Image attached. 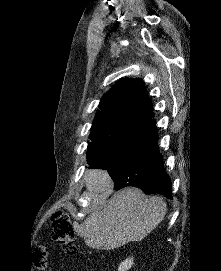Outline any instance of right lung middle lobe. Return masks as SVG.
I'll return each mask as SVG.
<instances>
[{"label":"right lung middle lobe","mask_w":221,"mask_h":271,"mask_svg":"<svg viewBox=\"0 0 221 271\" xmlns=\"http://www.w3.org/2000/svg\"><path fill=\"white\" fill-rule=\"evenodd\" d=\"M148 131L129 128H107L89 136L87 163L89 168L108 169L131 154Z\"/></svg>","instance_id":"dd1d6c3e"}]
</instances>
